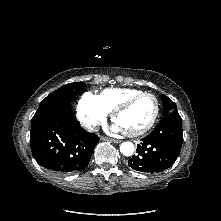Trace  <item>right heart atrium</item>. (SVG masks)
Segmentation results:
<instances>
[{
  "label": "right heart atrium",
  "instance_id": "right-heart-atrium-1",
  "mask_svg": "<svg viewBox=\"0 0 221 221\" xmlns=\"http://www.w3.org/2000/svg\"><path fill=\"white\" fill-rule=\"evenodd\" d=\"M108 111L103 107L97 95L85 92L77 106V117L82 126L88 131H94L105 121Z\"/></svg>",
  "mask_w": 221,
  "mask_h": 221
}]
</instances>
